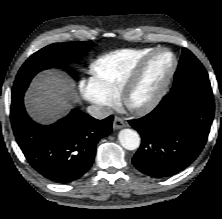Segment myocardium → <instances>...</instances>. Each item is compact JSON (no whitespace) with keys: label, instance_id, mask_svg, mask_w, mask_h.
I'll list each match as a JSON object with an SVG mask.
<instances>
[{"label":"myocardium","instance_id":"f54148a6","mask_svg":"<svg viewBox=\"0 0 222 219\" xmlns=\"http://www.w3.org/2000/svg\"><path fill=\"white\" fill-rule=\"evenodd\" d=\"M161 53H169L172 57V64L165 79L163 80L161 86L158 88V90L151 98L142 103L133 102L132 96L136 91V89L138 88V86L141 84L144 75L146 73V70L148 68V65L150 64V62L154 57H156ZM177 68H178V59L176 54L172 50L168 48H156L152 50L150 53L145 55L140 60V62L137 64L131 75L124 82L123 87L119 94V99L121 103L128 111H130L135 115H144L151 112L153 109H155L158 106V104L166 95L172 83V80L175 76Z\"/></svg>","mask_w":222,"mask_h":219}]
</instances>
